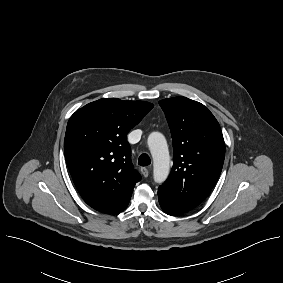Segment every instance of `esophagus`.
<instances>
[{
	"label": "esophagus",
	"instance_id": "obj_1",
	"mask_svg": "<svg viewBox=\"0 0 283 283\" xmlns=\"http://www.w3.org/2000/svg\"><path fill=\"white\" fill-rule=\"evenodd\" d=\"M140 171H141V173H142V175H143L144 177H148V175H149V170H148L146 167H141V168H140Z\"/></svg>",
	"mask_w": 283,
	"mask_h": 283
}]
</instances>
